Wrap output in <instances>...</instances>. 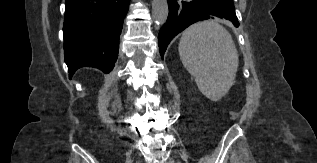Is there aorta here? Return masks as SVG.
<instances>
[{
  "label": "aorta",
  "mask_w": 317,
  "mask_h": 163,
  "mask_svg": "<svg viewBox=\"0 0 317 163\" xmlns=\"http://www.w3.org/2000/svg\"><path fill=\"white\" fill-rule=\"evenodd\" d=\"M169 13L167 0L152 1V18L157 24H164Z\"/></svg>",
  "instance_id": "1"
}]
</instances>
